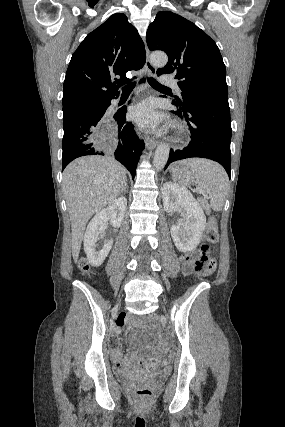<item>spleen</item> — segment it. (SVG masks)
<instances>
[{
    "mask_svg": "<svg viewBox=\"0 0 285 427\" xmlns=\"http://www.w3.org/2000/svg\"><path fill=\"white\" fill-rule=\"evenodd\" d=\"M180 164L187 166L195 173L199 187L210 197L212 209L221 211L229 187V179L223 167L204 159L182 160Z\"/></svg>",
    "mask_w": 285,
    "mask_h": 427,
    "instance_id": "1",
    "label": "spleen"
}]
</instances>
